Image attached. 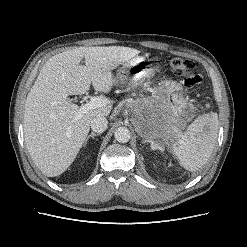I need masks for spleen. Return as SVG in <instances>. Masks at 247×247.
Instances as JSON below:
<instances>
[{
	"label": "spleen",
	"instance_id": "spleen-1",
	"mask_svg": "<svg viewBox=\"0 0 247 247\" xmlns=\"http://www.w3.org/2000/svg\"><path fill=\"white\" fill-rule=\"evenodd\" d=\"M209 107V105H206ZM218 137V115L198 116L173 144L172 152L180 165L189 171L203 167L210 158Z\"/></svg>",
	"mask_w": 247,
	"mask_h": 247
}]
</instances>
